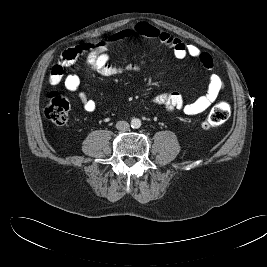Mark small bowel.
Wrapping results in <instances>:
<instances>
[{
  "label": "small bowel",
  "instance_id": "small-bowel-1",
  "mask_svg": "<svg viewBox=\"0 0 267 267\" xmlns=\"http://www.w3.org/2000/svg\"><path fill=\"white\" fill-rule=\"evenodd\" d=\"M137 37L160 41L172 50L174 57L177 59H183L189 56L200 61L207 69L213 68L211 55L202 51L196 45L174 37L168 32L161 31L147 22H138L104 39L85 42L65 49L51 69L49 82L52 85L63 82L68 91L77 95L85 111H94L96 109V103L81 89L80 78L74 73L65 74L66 68L72 66L80 56H84L88 68L102 76L140 72L146 66L145 62L142 61L119 66L111 63L108 53L112 45ZM223 89L224 83L222 78L217 73L212 72L209 77L206 93L192 102H186L178 92L157 94L153 97L152 101L155 104L163 106L167 113L180 111L186 115H196L207 110L219 97Z\"/></svg>",
  "mask_w": 267,
  "mask_h": 267
}]
</instances>
